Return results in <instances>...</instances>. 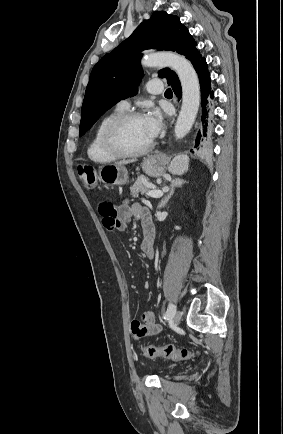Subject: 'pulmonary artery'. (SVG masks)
<instances>
[{
    "instance_id": "e3ab8cb5",
    "label": "pulmonary artery",
    "mask_w": 283,
    "mask_h": 434,
    "mask_svg": "<svg viewBox=\"0 0 283 434\" xmlns=\"http://www.w3.org/2000/svg\"><path fill=\"white\" fill-rule=\"evenodd\" d=\"M147 91L150 94H160L163 91V84L160 80H150L147 83ZM118 108L127 110L130 107V103L127 100H121L118 105Z\"/></svg>"
}]
</instances>
